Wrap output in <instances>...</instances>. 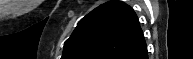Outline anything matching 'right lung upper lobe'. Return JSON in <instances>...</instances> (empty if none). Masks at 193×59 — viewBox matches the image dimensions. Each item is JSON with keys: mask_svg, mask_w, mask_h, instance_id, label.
Returning a JSON list of instances; mask_svg holds the SVG:
<instances>
[{"mask_svg": "<svg viewBox=\"0 0 193 59\" xmlns=\"http://www.w3.org/2000/svg\"><path fill=\"white\" fill-rule=\"evenodd\" d=\"M146 46L134 10L121 1L100 5L80 20L61 59H128Z\"/></svg>", "mask_w": 193, "mask_h": 59, "instance_id": "cb5924a9", "label": "right lung upper lobe"}]
</instances>
